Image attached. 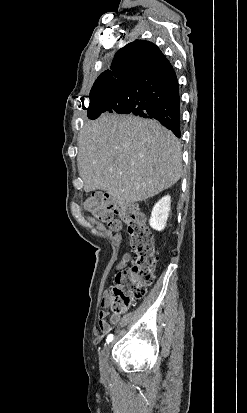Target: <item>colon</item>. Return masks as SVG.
Returning <instances> with one entry per match:
<instances>
[{"label": "colon", "instance_id": "obj_1", "mask_svg": "<svg viewBox=\"0 0 247 413\" xmlns=\"http://www.w3.org/2000/svg\"><path fill=\"white\" fill-rule=\"evenodd\" d=\"M85 207L110 230L119 232L122 223L126 226L133 264L118 273L110 305L112 313H123L146 295L147 287L154 281V269L158 262L154 236L146 227L137 204H122L107 195H95L86 202Z\"/></svg>", "mask_w": 247, "mask_h": 413}]
</instances>
